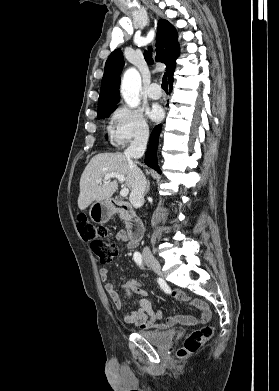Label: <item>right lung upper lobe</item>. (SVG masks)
<instances>
[{
    "instance_id": "obj_1",
    "label": "right lung upper lobe",
    "mask_w": 279,
    "mask_h": 391,
    "mask_svg": "<svg viewBox=\"0 0 279 391\" xmlns=\"http://www.w3.org/2000/svg\"><path fill=\"white\" fill-rule=\"evenodd\" d=\"M152 48L145 51V59L153 63L151 57ZM155 60L166 65V74L169 82L173 81V73L176 66V59L179 56L178 36L176 29L166 20L158 21ZM124 66V59L120 49L114 50L105 63L104 75L101 82L100 96L98 99V113L116 107L120 99L119 86L120 74Z\"/></svg>"
}]
</instances>
